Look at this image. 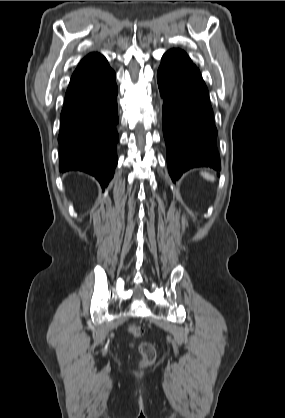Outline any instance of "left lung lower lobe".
Instances as JSON below:
<instances>
[{
	"label": "left lung lower lobe",
	"mask_w": 285,
	"mask_h": 418,
	"mask_svg": "<svg viewBox=\"0 0 285 418\" xmlns=\"http://www.w3.org/2000/svg\"><path fill=\"white\" fill-rule=\"evenodd\" d=\"M169 174L175 182L187 170H220L217 129L209 92L199 69L181 49L167 51L157 72Z\"/></svg>",
	"instance_id": "left-lung-lower-lobe-1"
}]
</instances>
